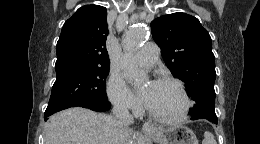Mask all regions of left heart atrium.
<instances>
[{
    "label": "left heart atrium",
    "mask_w": 260,
    "mask_h": 144,
    "mask_svg": "<svg viewBox=\"0 0 260 144\" xmlns=\"http://www.w3.org/2000/svg\"><path fill=\"white\" fill-rule=\"evenodd\" d=\"M151 93H152V87H148L147 89H145V90L141 93L142 99H143L146 103H147L148 100L150 99Z\"/></svg>",
    "instance_id": "1"
}]
</instances>
